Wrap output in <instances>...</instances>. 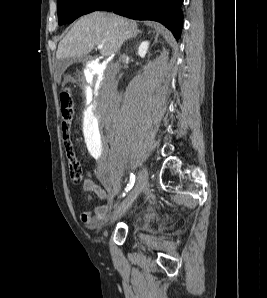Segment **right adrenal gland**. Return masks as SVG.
I'll use <instances>...</instances> for the list:
<instances>
[{
	"label": "right adrenal gland",
	"mask_w": 267,
	"mask_h": 298,
	"mask_svg": "<svg viewBox=\"0 0 267 298\" xmlns=\"http://www.w3.org/2000/svg\"><path fill=\"white\" fill-rule=\"evenodd\" d=\"M142 33V31L137 30L136 33L133 35V38L136 37L138 34Z\"/></svg>",
	"instance_id": "right-adrenal-gland-1"
}]
</instances>
